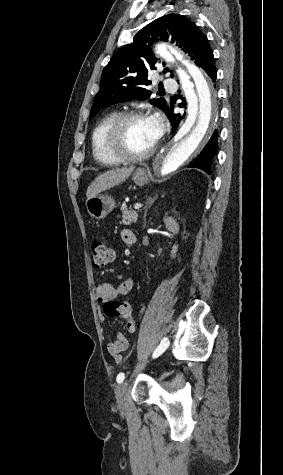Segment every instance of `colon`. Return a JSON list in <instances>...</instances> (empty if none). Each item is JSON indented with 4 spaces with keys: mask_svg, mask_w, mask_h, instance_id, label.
I'll return each mask as SVG.
<instances>
[{
    "mask_svg": "<svg viewBox=\"0 0 283 475\" xmlns=\"http://www.w3.org/2000/svg\"><path fill=\"white\" fill-rule=\"evenodd\" d=\"M112 251L101 241H95L92 244V260L95 267H104L111 259ZM130 306L127 302L110 303L104 305L102 311L104 314H113L121 316L125 321L126 330L129 333L136 332V323L133 316L130 314Z\"/></svg>",
    "mask_w": 283,
    "mask_h": 475,
    "instance_id": "5ec220e1",
    "label": "colon"
}]
</instances>
